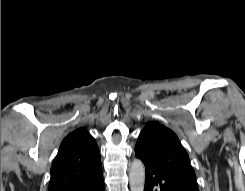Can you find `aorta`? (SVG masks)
Returning <instances> with one entry per match:
<instances>
[{
    "label": "aorta",
    "instance_id": "1",
    "mask_svg": "<svg viewBox=\"0 0 245 191\" xmlns=\"http://www.w3.org/2000/svg\"><path fill=\"white\" fill-rule=\"evenodd\" d=\"M145 184V170L143 163L134 159L129 170V185L131 191H143Z\"/></svg>",
    "mask_w": 245,
    "mask_h": 191
}]
</instances>
